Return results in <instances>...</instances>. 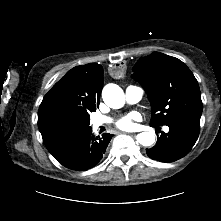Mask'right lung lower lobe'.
<instances>
[{
    "mask_svg": "<svg viewBox=\"0 0 221 221\" xmlns=\"http://www.w3.org/2000/svg\"><path fill=\"white\" fill-rule=\"evenodd\" d=\"M112 136L109 133H104L101 138L95 137L90 129L52 155L60 164L69 169L87 170L102 159Z\"/></svg>",
    "mask_w": 221,
    "mask_h": 221,
    "instance_id": "98d812e1",
    "label": "right lung lower lobe"
}]
</instances>
